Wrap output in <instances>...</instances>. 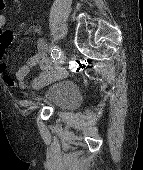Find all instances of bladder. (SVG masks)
Wrapping results in <instances>:
<instances>
[{
    "mask_svg": "<svg viewBox=\"0 0 143 170\" xmlns=\"http://www.w3.org/2000/svg\"><path fill=\"white\" fill-rule=\"evenodd\" d=\"M35 104H47L55 109L70 111L81 101V94L75 82L60 79L46 88L41 99H31Z\"/></svg>",
    "mask_w": 143,
    "mask_h": 170,
    "instance_id": "obj_1",
    "label": "bladder"
}]
</instances>
